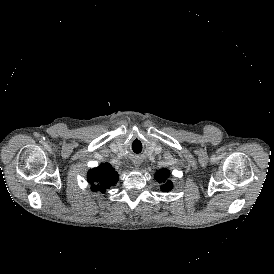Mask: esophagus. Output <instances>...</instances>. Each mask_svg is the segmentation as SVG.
I'll list each match as a JSON object with an SVG mask.
<instances>
[{"label":"esophagus","mask_w":274,"mask_h":274,"mask_svg":"<svg viewBox=\"0 0 274 274\" xmlns=\"http://www.w3.org/2000/svg\"><path fill=\"white\" fill-rule=\"evenodd\" d=\"M134 165H135L136 167H139V166H140V163H139V162H135Z\"/></svg>","instance_id":"obj_1"}]
</instances>
